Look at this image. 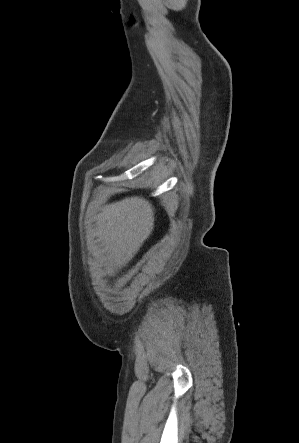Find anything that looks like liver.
Wrapping results in <instances>:
<instances>
[{"mask_svg":"<svg viewBox=\"0 0 299 443\" xmlns=\"http://www.w3.org/2000/svg\"><path fill=\"white\" fill-rule=\"evenodd\" d=\"M154 228V208L143 197H127L106 205L96 218L95 236L103 246L109 276L125 266L139 251Z\"/></svg>","mask_w":299,"mask_h":443,"instance_id":"obj_1","label":"liver"}]
</instances>
